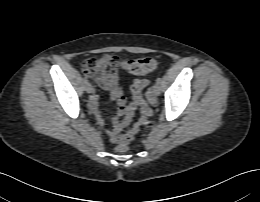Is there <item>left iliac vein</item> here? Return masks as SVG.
<instances>
[{"label": "left iliac vein", "mask_w": 260, "mask_h": 202, "mask_svg": "<svg viewBox=\"0 0 260 202\" xmlns=\"http://www.w3.org/2000/svg\"><path fill=\"white\" fill-rule=\"evenodd\" d=\"M160 94V85L159 84H154V86L150 90V95L151 96H158Z\"/></svg>", "instance_id": "obj_1"}]
</instances>
